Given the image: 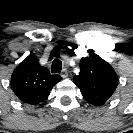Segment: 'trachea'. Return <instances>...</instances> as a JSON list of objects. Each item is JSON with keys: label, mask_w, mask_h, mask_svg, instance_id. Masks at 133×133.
Here are the masks:
<instances>
[{"label": "trachea", "mask_w": 133, "mask_h": 133, "mask_svg": "<svg viewBox=\"0 0 133 133\" xmlns=\"http://www.w3.org/2000/svg\"><path fill=\"white\" fill-rule=\"evenodd\" d=\"M62 69V62L59 59H55L51 65L52 73H60Z\"/></svg>", "instance_id": "trachea-1"}]
</instances>
